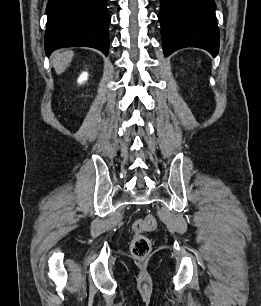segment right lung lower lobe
<instances>
[{"label":"right lung lower lobe","mask_w":261,"mask_h":306,"mask_svg":"<svg viewBox=\"0 0 261 306\" xmlns=\"http://www.w3.org/2000/svg\"><path fill=\"white\" fill-rule=\"evenodd\" d=\"M107 0H49L46 8L45 51L86 46L108 54L110 16Z\"/></svg>","instance_id":"obj_1"}]
</instances>
